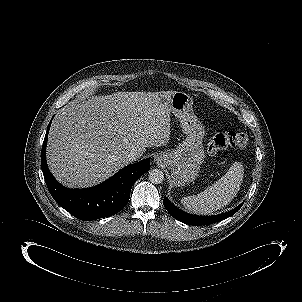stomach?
<instances>
[{
  "label": "stomach",
  "instance_id": "obj_1",
  "mask_svg": "<svg viewBox=\"0 0 302 302\" xmlns=\"http://www.w3.org/2000/svg\"><path fill=\"white\" fill-rule=\"evenodd\" d=\"M192 105V97L185 92H175L171 97L170 112L179 119L186 138L176 149L161 153L157 158L171 170V181L175 186L193 182L205 159L204 128L194 115Z\"/></svg>",
  "mask_w": 302,
  "mask_h": 302
}]
</instances>
